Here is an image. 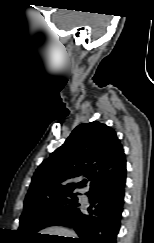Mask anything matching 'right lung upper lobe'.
Masks as SVG:
<instances>
[{
    "mask_svg": "<svg viewBox=\"0 0 154 243\" xmlns=\"http://www.w3.org/2000/svg\"><path fill=\"white\" fill-rule=\"evenodd\" d=\"M125 154L109 126L97 121L77 126L64 144L37 168L24 207L65 195L87 183L74 180L84 176L90 189L125 166Z\"/></svg>",
    "mask_w": 154,
    "mask_h": 243,
    "instance_id": "1",
    "label": "right lung upper lobe"
}]
</instances>
